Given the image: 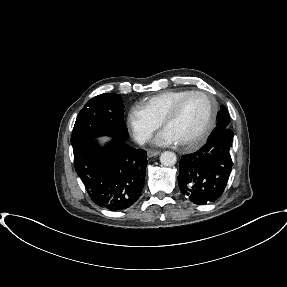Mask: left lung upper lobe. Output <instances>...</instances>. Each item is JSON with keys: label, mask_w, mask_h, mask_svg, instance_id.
<instances>
[{"label": "left lung upper lobe", "mask_w": 287, "mask_h": 287, "mask_svg": "<svg viewBox=\"0 0 287 287\" xmlns=\"http://www.w3.org/2000/svg\"><path fill=\"white\" fill-rule=\"evenodd\" d=\"M217 127L215 130L211 133L210 137L217 134L218 132L229 128V114L224 106L221 107V111L218 112V117H217Z\"/></svg>", "instance_id": "1"}]
</instances>
